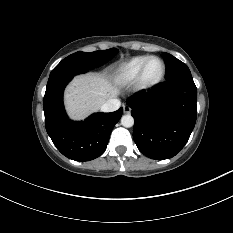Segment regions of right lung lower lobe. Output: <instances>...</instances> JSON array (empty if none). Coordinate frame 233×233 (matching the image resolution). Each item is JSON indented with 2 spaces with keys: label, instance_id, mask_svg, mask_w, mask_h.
I'll list each match as a JSON object with an SVG mask.
<instances>
[{
  "label": "right lung lower lobe",
  "instance_id": "obj_1",
  "mask_svg": "<svg viewBox=\"0 0 233 233\" xmlns=\"http://www.w3.org/2000/svg\"><path fill=\"white\" fill-rule=\"evenodd\" d=\"M86 71L50 74L43 101L45 126L57 149L76 161L93 160L104 153L114 125L122 116L120 108L112 113H95L84 121H71L64 110L63 91L74 75Z\"/></svg>",
  "mask_w": 233,
  "mask_h": 233
}]
</instances>
